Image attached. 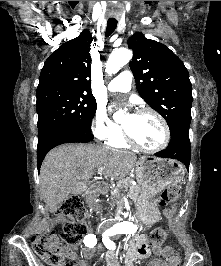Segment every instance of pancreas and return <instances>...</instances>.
I'll return each mask as SVG.
<instances>
[{"mask_svg":"<svg viewBox=\"0 0 221 266\" xmlns=\"http://www.w3.org/2000/svg\"><path fill=\"white\" fill-rule=\"evenodd\" d=\"M122 191L127 192V195L132 198H137L142 192V188L139 185H133L130 178L121 180L115 189L111 191L113 203L118 204L123 200L124 194Z\"/></svg>","mask_w":221,"mask_h":266,"instance_id":"cf45deb5","label":"pancreas"}]
</instances>
